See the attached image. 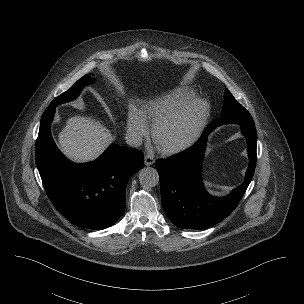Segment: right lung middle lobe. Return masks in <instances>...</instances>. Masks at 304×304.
<instances>
[{
	"mask_svg": "<svg viewBox=\"0 0 304 304\" xmlns=\"http://www.w3.org/2000/svg\"><path fill=\"white\" fill-rule=\"evenodd\" d=\"M93 81L94 80L87 75L82 77L68 91L56 97L49 106H57L59 104L69 102L75 99L79 95L83 87L87 84L92 83Z\"/></svg>",
	"mask_w": 304,
	"mask_h": 304,
	"instance_id": "1",
	"label": "right lung middle lobe"
}]
</instances>
